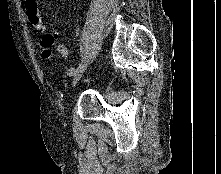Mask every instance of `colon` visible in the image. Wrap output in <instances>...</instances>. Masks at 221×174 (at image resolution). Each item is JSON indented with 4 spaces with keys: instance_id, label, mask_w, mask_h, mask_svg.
<instances>
[{
    "instance_id": "colon-1",
    "label": "colon",
    "mask_w": 221,
    "mask_h": 174,
    "mask_svg": "<svg viewBox=\"0 0 221 174\" xmlns=\"http://www.w3.org/2000/svg\"><path fill=\"white\" fill-rule=\"evenodd\" d=\"M63 48H64L63 46H60V47H59V49H63Z\"/></svg>"
}]
</instances>
